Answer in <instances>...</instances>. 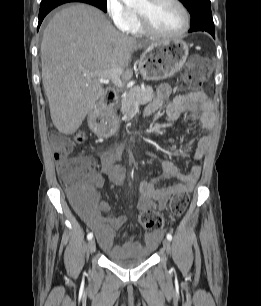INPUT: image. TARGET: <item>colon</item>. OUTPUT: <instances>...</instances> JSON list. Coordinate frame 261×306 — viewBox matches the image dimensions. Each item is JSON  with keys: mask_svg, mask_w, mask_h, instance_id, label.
Masks as SVG:
<instances>
[{"mask_svg": "<svg viewBox=\"0 0 261 306\" xmlns=\"http://www.w3.org/2000/svg\"><path fill=\"white\" fill-rule=\"evenodd\" d=\"M212 70V64L203 57H191L182 72L183 80L187 88L191 91H198ZM94 124L101 126L105 133L112 130V117L108 114V109H102L99 116L95 117ZM83 136L77 138L82 140ZM57 153L64 159L65 163L60 167L61 179L70 188L71 196L75 203L82 204L92 196V190L88 185V167L82 158H69L68 153L72 149V143L67 138L55 141ZM189 202V196L185 192H176L170 200L171 216H181ZM139 224L146 230H159L168 222V217L157 212L147 210L142 212L138 218Z\"/></svg>", "mask_w": 261, "mask_h": 306, "instance_id": "5ec220e1", "label": "colon"}]
</instances>
